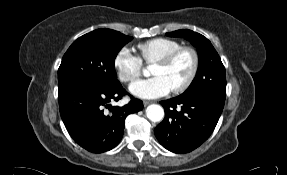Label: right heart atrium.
Returning a JSON list of instances; mask_svg holds the SVG:
<instances>
[{"mask_svg": "<svg viewBox=\"0 0 287 175\" xmlns=\"http://www.w3.org/2000/svg\"><path fill=\"white\" fill-rule=\"evenodd\" d=\"M114 67L122 82L131 83L141 75L143 61L130 48L122 47L115 55Z\"/></svg>", "mask_w": 287, "mask_h": 175, "instance_id": "d8ad5b80", "label": "right heart atrium"}]
</instances>
